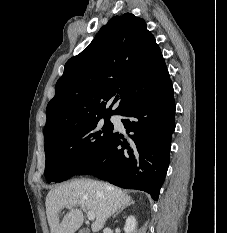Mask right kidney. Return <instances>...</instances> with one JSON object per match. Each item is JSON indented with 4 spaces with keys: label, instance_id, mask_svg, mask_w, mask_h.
Wrapping results in <instances>:
<instances>
[{
    "label": "right kidney",
    "instance_id": "1",
    "mask_svg": "<svg viewBox=\"0 0 227 233\" xmlns=\"http://www.w3.org/2000/svg\"><path fill=\"white\" fill-rule=\"evenodd\" d=\"M137 225V221L134 216H129L126 219L125 226H124V231L125 233H133Z\"/></svg>",
    "mask_w": 227,
    "mask_h": 233
}]
</instances>
